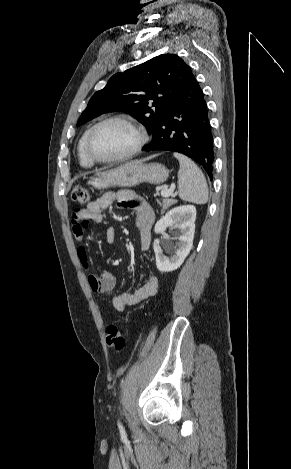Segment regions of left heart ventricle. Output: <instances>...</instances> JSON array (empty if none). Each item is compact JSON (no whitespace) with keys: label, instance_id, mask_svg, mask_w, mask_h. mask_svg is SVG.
<instances>
[{"label":"left heart ventricle","instance_id":"left-heart-ventricle-1","mask_svg":"<svg viewBox=\"0 0 291 469\" xmlns=\"http://www.w3.org/2000/svg\"><path fill=\"white\" fill-rule=\"evenodd\" d=\"M138 140L136 132L122 122L101 126L93 135L91 148L100 158H112L131 150Z\"/></svg>","mask_w":291,"mask_h":469}]
</instances>
